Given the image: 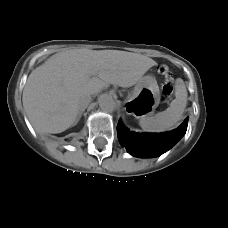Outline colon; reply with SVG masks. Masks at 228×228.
I'll return each instance as SVG.
<instances>
[{
  "label": "colon",
  "mask_w": 228,
  "mask_h": 228,
  "mask_svg": "<svg viewBox=\"0 0 228 228\" xmlns=\"http://www.w3.org/2000/svg\"><path fill=\"white\" fill-rule=\"evenodd\" d=\"M160 73L165 79V84L163 88L164 94L166 97H171L174 91V84H173L171 71L167 65H162L160 67Z\"/></svg>",
  "instance_id": "obj_1"
}]
</instances>
